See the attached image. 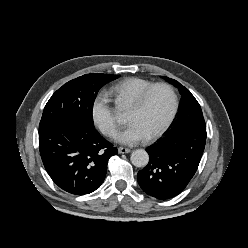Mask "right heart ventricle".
I'll return each mask as SVG.
<instances>
[{"label": "right heart ventricle", "mask_w": 248, "mask_h": 248, "mask_svg": "<svg viewBox=\"0 0 248 248\" xmlns=\"http://www.w3.org/2000/svg\"><path fill=\"white\" fill-rule=\"evenodd\" d=\"M152 84L154 83L149 80L131 77L112 85L109 89V94L114 96L118 101H125L131 105Z\"/></svg>", "instance_id": "e07e8e85"}]
</instances>
